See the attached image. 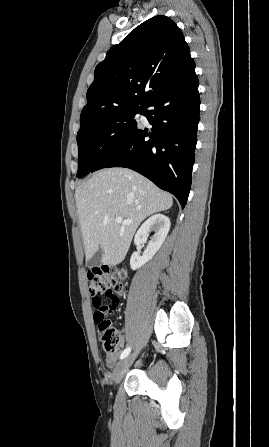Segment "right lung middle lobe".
I'll use <instances>...</instances> for the list:
<instances>
[{
    "mask_svg": "<svg viewBox=\"0 0 269 447\" xmlns=\"http://www.w3.org/2000/svg\"><path fill=\"white\" fill-rule=\"evenodd\" d=\"M144 107L140 104L118 108L80 126L78 178L91 172L105 155L137 129L135 116L142 114Z\"/></svg>",
    "mask_w": 269,
    "mask_h": 447,
    "instance_id": "1",
    "label": "right lung middle lobe"
}]
</instances>
